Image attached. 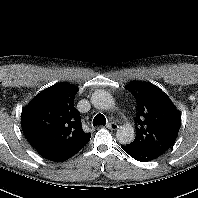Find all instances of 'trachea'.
<instances>
[{
  "instance_id": "3493384b",
  "label": "trachea",
  "mask_w": 198,
  "mask_h": 198,
  "mask_svg": "<svg viewBox=\"0 0 198 198\" xmlns=\"http://www.w3.org/2000/svg\"><path fill=\"white\" fill-rule=\"evenodd\" d=\"M106 124V118L102 114H97L95 118L93 119V126L103 125Z\"/></svg>"
}]
</instances>
